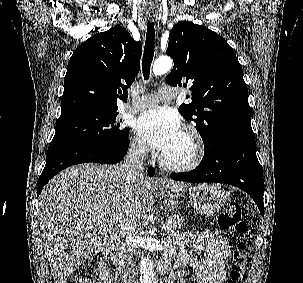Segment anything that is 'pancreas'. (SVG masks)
I'll list each match as a JSON object with an SVG mask.
<instances>
[{"instance_id": "1", "label": "pancreas", "mask_w": 303, "mask_h": 283, "mask_svg": "<svg viewBox=\"0 0 303 283\" xmlns=\"http://www.w3.org/2000/svg\"><path fill=\"white\" fill-rule=\"evenodd\" d=\"M170 220H172V223L169 224V229L168 232H176L177 230L181 229L182 224L184 222V218L177 215V214H172L169 217ZM117 263L119 266H123L124 262L127 260L128 255L131 254L132 252V246L127 244L126 242L120 241L117 244Z\"/></svg>"}]
</instances>
